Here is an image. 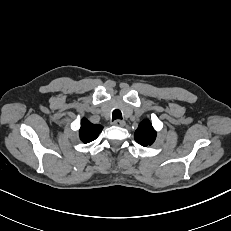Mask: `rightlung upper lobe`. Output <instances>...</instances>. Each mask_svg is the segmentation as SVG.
<instances>
[{"label":"right lung upper lobe","mask_w":231,"mask_h":231,"mask_svg":"<svg viewBox=\"0 0 231 231\" xmlns=\"http://www.w3.org/2000/svg\"><path fill=\"white\" fill-rule=\"evenodd\" d=\"M103 127L101 125H95L90 123L87 119L83 118L80 128V138L83 143H89L95 140Z\"/></svg>","instance_id":"1"}]
</instances>
